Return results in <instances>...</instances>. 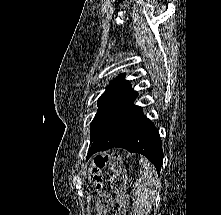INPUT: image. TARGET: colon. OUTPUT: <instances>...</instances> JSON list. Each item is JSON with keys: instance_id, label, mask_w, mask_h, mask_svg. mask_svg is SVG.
Instances as JSON below:
<instances>
[{"instance_id": "5ec220e1", "label": "colon", "mask_w": 221, "mask_h": 215, "mask_svg": "<svg viewBox=\"0 0 221 215\" xmlns=\"http://www.w3.org/2000/svg\"><path fill=\"white\" fill-rule=\"evenodd\" d=\"M108 164L111 166L113 173L110 180V186L115 193V198L111 199L101 194L95 204L97 215H107L111 210L113 215H130L127 175L121 166L117 154L97 155L90 165L88 174L89 182L93 190L100 193L102 191L101 172Z\"/></svg>"}]
</instances>
